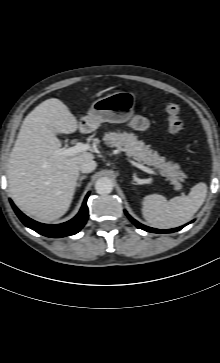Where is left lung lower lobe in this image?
Segmentation results:
<instances>
[{"label":"left lung lower lobe","mask_w":220,"mask_h":363,"mask_svg":"<svg viewBox=\"0 0 220 363\" xmlns=\"http://www.w3.org/2000/svg\"><path fill=\"white\" fill-rule=\"evenodd\" d=\"M125 214L127 215V217L132 221L133 224L136 225V227L140 228V229H143L145 231H148V232H153V233H171V232H176L180 229H182L184 226H181V227H178V228H174V229H169V230H159V229H154V228H150V227H147L139 222H137L135 219H133L126 211H125Z\"/></svg>","instance_id":"0a47b994"}]
</instances>
